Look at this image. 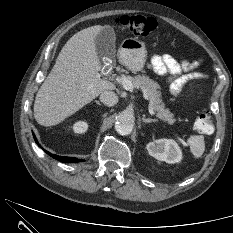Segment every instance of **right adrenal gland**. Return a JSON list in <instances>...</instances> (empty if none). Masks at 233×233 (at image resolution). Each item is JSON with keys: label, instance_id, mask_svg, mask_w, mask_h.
Here are the masks:
<instances>
[{"label": "right adrenal gland", "instance_id": "right-adrenal-gland-1", "mask_svg": "<svg viewBox=\"0 0 233 233\" xmlns=\"http://www.w3.org/2000/svg\"><path fill=\"white\" fill-rule=\"evenodd\" d=\"M95 103L99 106H101L100 102L98 100H95Z\"/></svg>", "mask_w": 233, "mask_h": 233}]
</instances>
